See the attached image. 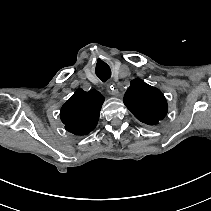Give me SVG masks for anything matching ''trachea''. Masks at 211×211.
<instances>
[{"mask_svg": "<svg viewBox=\"0 0 211 211\" xmlns=\"http://www.w3.org/2000/svg\"><path fill=\"white\" fill-rule=\"evenodd\" d=\"M97 76L103 81V82H106L110 79L111 77V73H100V74H97Z\"/></svg>", "mask_w": 211, "mask_h": 211, "instance_id": "3493384b", "label": "trachea"}]
</instances>
